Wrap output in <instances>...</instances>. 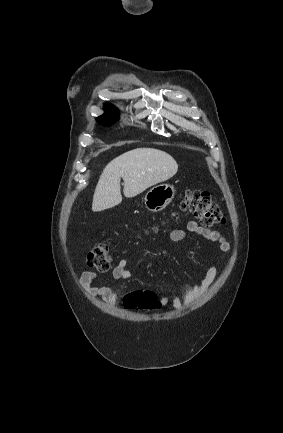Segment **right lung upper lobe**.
Segmentation results:
<instances>
[{
    "label": "right lung upper lobe",
    "mask_w": 283,
    "mask_h": 433,
    "mask_svg": "<svg viewBox=\"0 0 283 433\" xmlns=\"http://www.w3.org/2000/svg\"><path fill=\"white\" fill-rule=\"evenodd\" d=\"M104 110H105V115H110V114H116L117 113V108L111 104H105L104 105Z\"/></svg>",
    "instance_id": "1"
}]
</instances>
